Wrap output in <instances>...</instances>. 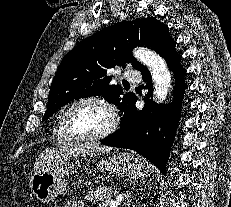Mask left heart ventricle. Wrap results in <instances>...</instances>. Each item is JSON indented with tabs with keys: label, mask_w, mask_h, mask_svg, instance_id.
<instances>
[{
	"label": "left heart ventricle",
	"mask_w": 231,
	"mask_h": 207,
	"mask_svg": "<svg viewBox=\"0 0 231 207\" xmlns=\"http://www.w3.org/2000/svg\"><path fill=\"white\" fill-rule=\"evenodd\" d=\"M70 123L73 130L83 136L96 135L105 130L110 117L108 112L95 103H81L70 113Z\"/></svg>",
	"instance_id": "1"
}]
</instances>
